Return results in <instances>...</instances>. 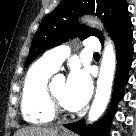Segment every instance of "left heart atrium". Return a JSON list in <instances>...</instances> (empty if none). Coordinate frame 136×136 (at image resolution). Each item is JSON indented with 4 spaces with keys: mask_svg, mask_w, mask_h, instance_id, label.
I'll return each instance as SVG.
<instances>
[{
    "mask_svg": "<svg viewBox=\"0 0 136 136\" xmlns=\"http://www.w3.org/2000/svg\"><path fill=\"white\" fill-rule=\"evenodd\" d=\"M92 93L91 77L86 69H73L67 79L64 104L70 110L82 108L89 100Z\"/></svg>",
    "mask_w": 136,
    "mask_h": 136,
    "instance_id": "1",
    "label": "left heart atrium"
}]
</instances>
